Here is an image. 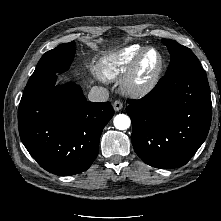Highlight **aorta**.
I'll use <instances>...</instances> for the list:
<instances>
[{
    "instance_id": "aorta-1",
    "label": "aorta",
    "mask_w": 221,
    "mask_h": 221,
    "mask_svg": "<svg viewBox=\"0 0 221 221\" xmlns=\"http://www.w3.org/2000/svg\"><path fill=\"white\" fill-rule=\"evenodd\" d=\"M114 126L118 130H126L131 125V120L129 116L125 114H118L114 117L113 120Z\"/></svg>"
}]
</instances>
